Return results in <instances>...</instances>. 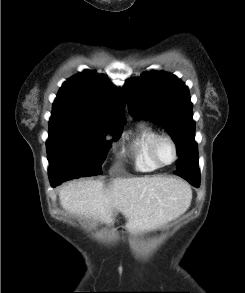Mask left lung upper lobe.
Segmentation results:
<instances>
[{"label": "left lung upper lobe", "instance_id": "obj_1", "mask_svg": "<svg viewBox=\"0 0 245 293\" xmlns=\"http://www.w3.org/2000/svg\"><path fill=\"white\" fill-rule=\"evenodd\" d=\"M123 91L134 117L150 118L176 143L179 158L175 172L200 175L188 87L174 75L152 71L128 80Z\"/></svg>", "mask_w": 245, "mask_h": 293}]
</instances>
